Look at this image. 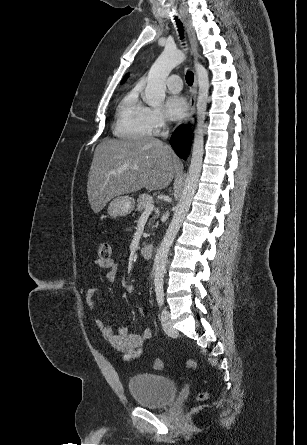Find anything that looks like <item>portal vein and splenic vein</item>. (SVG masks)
I'll return each mask as SVG.
<instances>
[{
	"label": "portal vein and splenic vein",
	"mask_w": 307,
	"mask_h": 445,
	"mask_svg": "<svg viewBox=\"0 0 307 445\" xmlns=\"http://www.w3.org/2000/svg\"><path fill=\"white\" fill-rule=\"evenodd\" d=\"M119 172H122V170H110V174H119ZM154 210V204L153 202H149V204H146L144 212H142L141 216H145V214H150Z\"/></svg>",
	"instance_id": "portal-vein-and-splenic-vein-1"
}]
</instances>
